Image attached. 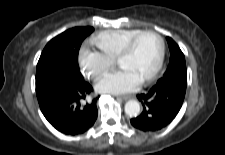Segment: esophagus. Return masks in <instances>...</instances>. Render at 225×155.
I'll list each match as a JSON object with an SVG mask.
<instances>
[{"instance_id": "esophagus-1", "label": "esophagus", "mask_w": 225, "mask_h": 155, "mask_svg": "<svg viewBox=\"0 0 225 155\" xmlns=\"http://www.w3.org/2000/svg\"><path fill=\"white\" fill-rule=\"evenodd\" d=\"M118 99H122V100H128L130 98L129 95H124V96H118Z\"/></svg>"}]
</instances>
